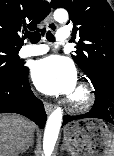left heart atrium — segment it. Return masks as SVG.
Wrapping results in <instances>:
<instances>
[{
  "mask_svg": "<svg viewBox=\"0 0 114 156\" xmlns=\"http://www.w3.org/2000/svg\"><path fill=\"white\" fill-rule=\"evenodd\" d=\"M31 76L37 89L48 95L71 94L76 86L72 62L58 55L36 61Z\"/></svg>",
  "mask_w": 114,
  "mask_h": 156,
  "instance_id": "39dd6f15",
  "label": "left heart atrium"
}]
</instances>
